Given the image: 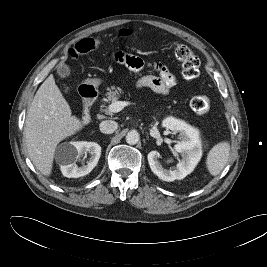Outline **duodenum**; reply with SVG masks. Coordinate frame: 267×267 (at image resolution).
<instances>
[{"instance_id": "1", "label": "duodenum", "mask_w": 267, "mask_h": 267, "mask_svg": "<svg viewBox=\"0 0 267 267\" xmlns=\"http://www.w3.org/2000/svg\"><path fill=\"white\" fill-rule=\"evenodd\" d=\"M80 94L83 98L84 113L82 122L84 125H88L91 121L90 110L94 101L98 96V88L94 85H83L80 88Z\"/></svg>"}]
</instances>
